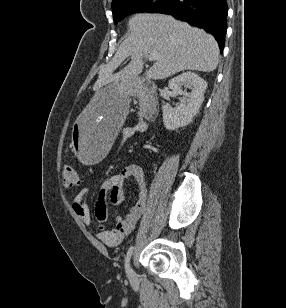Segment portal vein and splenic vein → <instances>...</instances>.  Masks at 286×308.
Masks as SVG:
<instances>
[{"label":"portal vein and splenic vein","instance_id":"18ae733b","mask_svg":"<svg viewBox=\"0 0 286 308\" xmlns=\"http://www.w3.org/2000/svg\"><path fill=\"white\" fill-rule=\"evenodd\" d=\"M150 61L160 59V55L157 51H152L145 55Z\"/></svg>","mask_w":286,"mask_h":308}]
</instances>
